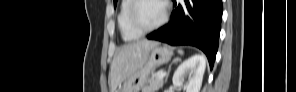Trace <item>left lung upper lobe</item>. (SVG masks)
<instances>
[{
    "label": "left lung upper lobe",
    "instance_id": "left-lung-upper-lobe-1",
    "mask_svg": "<svg viewBox=\"0 0 296 92\" xmlns=\"http://www.w3.org/2000/svg\"><path fill=\"white\" fill-rule=\"evenodd\" d=\"M117 0H114V6H116Z\"/></svg>",
    "mask_w": 296,
    "mask_h": 92
}]
</instances>
